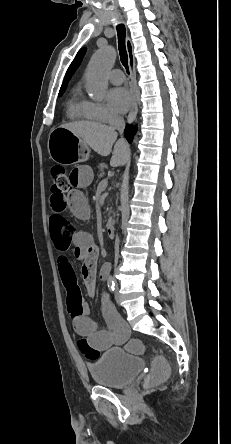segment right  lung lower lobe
Wrapping results in <instances>:
<instances>
[{
    "label": "right lung lower lobe",
    "instance_id": "right-lung-lower-lobe-1",
    "mask_svg": "<svg viewBox=\"0 0 231 444\" xmlns=\"http://www.w3.org/2000/svg\"><path fill=\"white\" fill-rule=\"evenodd\" d=\"M136 130H137L136 128H133L132 126H129V125L126 127L125 136L129 142L132 141L133 136L136 133Z\"/></svg>",
    "mask_w": 231,
    "mask_h": 444
}]
</instances>
